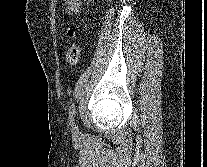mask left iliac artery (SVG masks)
<instances>
[{"instance_id": "obj_1", "label": "left iliac artery", "mask_w": 207, "mask_h": 167, "mask_svg": "<svg viewBox=\"0 0 207 167\" xmlns=\"http://www.w3.org/2000/svg\"><path fill=\"white\" fill-rule=\"evenodd\" d=\"M74 117H75V105L73 103L69 108V119H70V123H72V124L74 121Z\"/></svg>"}]
</instances>
